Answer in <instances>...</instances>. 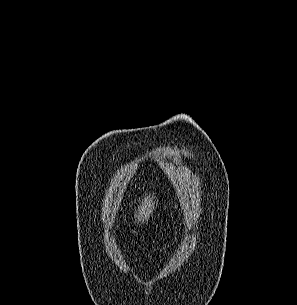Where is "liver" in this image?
Wrapping results in <instances>:
<instances>
[{"mask_svg": "<svg viewBox=\"0 0 297 305\" xmlns=\"http://www.w3.org/2000/svg\"><path fill=\"white\" fill-rule=\"evenodd\" d=\"M154 210V202L153 197L146 195L144 201H142L140 207H138V211L135 213V222L144 223L148 221L150 215Z\"/></svg>", "mask_w": 297, "mask_h": 305, "instance_id": "6515ba94", "label": "liver"}]
</instances>
